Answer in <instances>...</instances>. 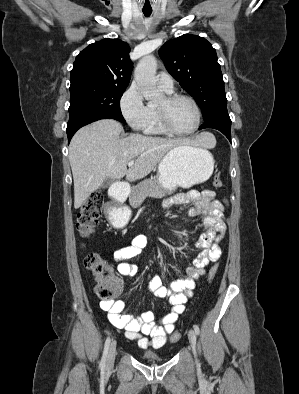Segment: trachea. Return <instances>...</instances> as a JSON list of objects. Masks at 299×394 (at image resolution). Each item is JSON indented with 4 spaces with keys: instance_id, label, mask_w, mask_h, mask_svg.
Instances as JSON below:
<instances>
[{
    "instance_id": "trachea-1",
    "label": "trachea",
    "mask_w": 299,
    "mask_h": 394,
    "mask_svg": "<svg viewBox=\"0 0 299 394\" xmlns=\"http://www.w3.org/2000/svg\"><path fill=\"white\" fill-rule=\"evenodd\" d=\"M143 14L145 17H150V15L152 14V11H144L143 10Z\"/></svg>"
}]
</instances>
